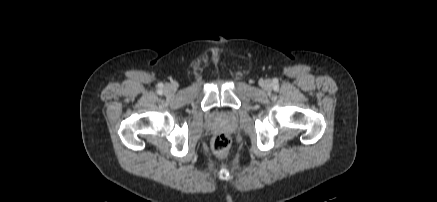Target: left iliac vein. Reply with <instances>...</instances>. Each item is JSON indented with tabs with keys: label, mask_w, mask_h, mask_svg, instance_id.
Wrapping results in <instances>:
<instances>
[{
	"label": "left iliac vein",
	"mask_w": 437,
	"mask_h": 202,
	"mask_svg": "<svg viewBox=\"0 0 437 202\" xmlns=\"http://www.w3.org/2000/svg\"><path fill=\"white\" fill-rule=\"evenodd\" d=\"M262 87H263L265 90H269V89L271 88V82L268 81V80L264 81V82L262 83Z\"/></svg>",
	"instance_id": "left-iliac-vein-1"
}]
</instances>
